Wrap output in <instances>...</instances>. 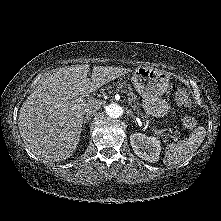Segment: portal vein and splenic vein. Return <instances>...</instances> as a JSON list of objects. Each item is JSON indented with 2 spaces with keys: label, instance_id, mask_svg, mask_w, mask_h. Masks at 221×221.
<instances>
[{
  "label": "portal vein and splenic vein",
  "instance_id": "1",
  "mask_svg": "<svg viewBox=\"0 0 221 221\" xmlns=\"http://www.w3.org/2000/svg\"><path fill=\"white\" fill-rule=\"evenodd\" d=\"M76 101H77V102H82V101H84V100H83L82 97H78V98L76 99ZM129 103H130V102H129ZM137 119H138V122H140V118H137ZM156 133L161 135V132H160V131H156Z\"/></svg>",
  "mask_w": 221,
  "mask_h": 221
}]
</instances>
